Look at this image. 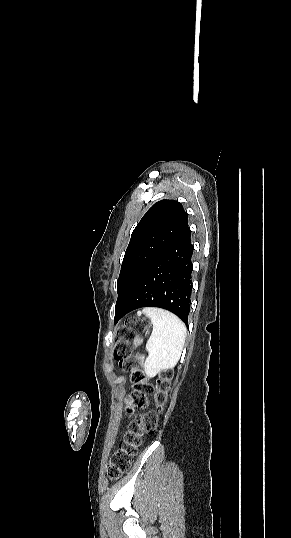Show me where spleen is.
Returning <instances> with one entry per match:
<instances>
[{
  "instance_id": "1",
  "label": "spleen",
  "mask_w": 291,
  "mask_h": 538,
  "mask_svg": "<svg viewBox=\"0 0 291 538\" xmlns=\"http://www.w3.org/2000/svg\"><path fill=\"white\" fill-rule=\"evenodd\" d=\"M153 324L151 336L146 343L148 357L144 369L148 377L173 368L179 361L185 339L186 326L174 314L160 308H144Z\"/></svg>"
}]
</instances>
